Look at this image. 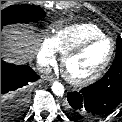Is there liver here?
Returning a JSON list of instances; mask_svg holds the SVG:
<instances>
[{
    "instance_id": "obj_1",
    "label": "liver",
    "mask_w": 122,
    "mask_h": 122,
    "mask_svg": "<svg viewBox=\"0 0 122 122\" xmlns=\"http://www.w3.org/2000/svg\"><path fill=\"white\" fill-rule=\"evenodd\" d=\"M40 41L29 28L10 27L5 30L3 47L12 62L27 63L37 53Z\"/></svg>"
}]
</instances>
